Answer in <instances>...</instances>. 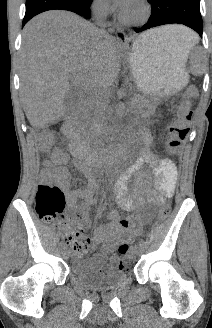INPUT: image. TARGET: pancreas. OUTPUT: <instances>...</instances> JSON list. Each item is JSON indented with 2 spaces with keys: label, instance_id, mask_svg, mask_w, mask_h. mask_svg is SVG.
<instances>
[{
  "label": "pancreas",
  "instance_id": "obj_1",
  "mask_svg": "<svg viewBox=\"0 0 212 328\" xmlns=\"http://www.w3.org/2000/svg\"><path fill=\"white\" fill-rule=\"evenodd\" d=\"M148 106H149V101L146 100L144 97L136 96L132 99L131 108L138 113H141L142 110Z\"/></svg>",
  "mask_w": 212,
  "mask_h": 328
}]
</instances>
